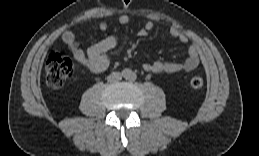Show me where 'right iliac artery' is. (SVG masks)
Returning a JSON list of instances; mask_svg holds the SVG:
<instances>
[{"label": "right iliac artery", "instance_id": "1", "mask_svg": "<svg viewBox=\"0 0 259 156\" xmlns=\"http://www.w3.org/2000/svg\"><path fill=\"white\" fill-rule=\"evenodd\" d=\"M129 74V71L128 70H124L123 72H122V75H124V76H127Z\"/></svg>", "mask_w": 259, "mask_h": 156}]
</instances>
